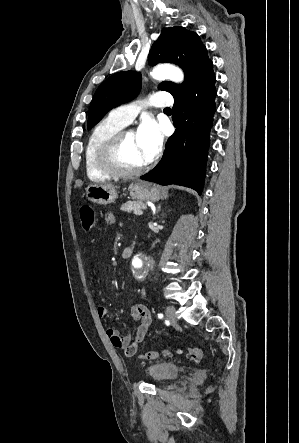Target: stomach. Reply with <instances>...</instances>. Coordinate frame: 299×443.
Segmentation results:
<instances>
[{"label":"stomach","instance_id":"1","mask_svg":"<svg viewBox=\"0 0 299 443\" xmlns=\"http://www.w3.org/2000/svg\"><path fill=\"white\" fill-rule=\"evenodd\" d=\"M130 196L138 201H158L161 198V191L158 187L147 182H136L130 186ZM87 198L100 205L113 203L117 198L114 186L90 184L86 188Z\"/></svg>","mask_w":299,"mask_h":443}]
</instances>
